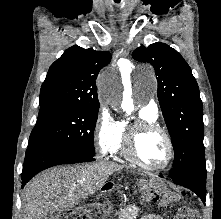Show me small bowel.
<instances>
[{
	"label": "small bowel",
	"mask_w": 221,
	"mask_h": 219,
	"mask_svg": "<svg viewBox=\"0 0 221 219\" xmlns=\"http://www.w3.org/2000/svg\"><path fill=\"white\" fill-rule=\"evenodd\" d=\"M141 219H161V218L155 214L147 213Z\"/></svg>",
	"instance_id": "c3829d8e"
}]
</instances>
